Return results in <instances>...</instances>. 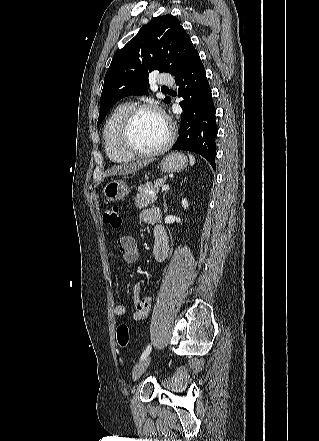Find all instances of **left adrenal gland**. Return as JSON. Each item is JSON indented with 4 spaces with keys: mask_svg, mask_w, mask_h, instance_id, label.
Masks as SVG:
<instances>
[{
    "mask_svg": "<svg viewBox=\"0 0 319 441\" xmlns=\"http://www.w3.org/2000/svg\"><path fill=\"white\" fill-rule=\"evenodd\" d=\"M166 194L163 195V205H164V212H167V204L165 199Z\"/></svg>",
    "mask_w": 319,
    "mask_h": 441,
    "instance_id": "obj_1",
    "label": "left adrenal gland"
}]
</instances>
